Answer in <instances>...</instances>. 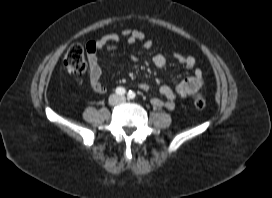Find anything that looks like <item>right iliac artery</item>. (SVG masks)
I'll return each mask as SVG.
<instances>
[{
  "instance_id": "82829eb1",
  "label": "right iliac artery",
  "mask_w": 272,
  "mask_h": 198,
  "mask_svg": "<svg viewBox=\"0 0 272 198\" xmlns=\"http://www.w3.org/2000/svg\"><path fill=\"white\" fill-rule=\"evenodd\" d=\"M126 93V90L123 87L116 88V94L118 95H124Z\"/></svg>"
}]
</instances>
